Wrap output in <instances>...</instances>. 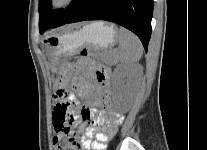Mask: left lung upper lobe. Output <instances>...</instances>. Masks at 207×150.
<instances>
[{
    "label": "left lung upper lobe",
    "mask_w": 207,
    "mask_h": 150,
    "mask_svg": "<svg viewBox=\"0 0 207 150\" xmlns=\"http://www.w3.org/2000/svg\"><path fill=\"white\" fill-rule=\"evenodd\" d=\"M73 0L68 7L60 10H51V0H39V29L40 33H44L48 28L53 27L61 17L69 10V8L76 2Z\"/></svg>",
    "instance_id": "1"
}]
</instances>
